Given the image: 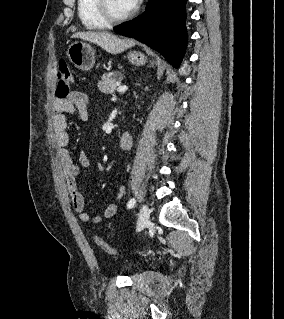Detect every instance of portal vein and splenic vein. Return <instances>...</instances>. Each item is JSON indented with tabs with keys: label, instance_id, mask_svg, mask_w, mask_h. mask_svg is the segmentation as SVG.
I'll return each instance as SVG.
<instances>
[{
	"label": "portal vein and splenic vein",
	"instance_id": "obj_1",
	"mask_svg": "<svg viewBox=\"0 0 284 319\" xmlns=\"http://www.w3.org/2000/svg\"><path fill=\"white\" fill-rule=\"evenodd\" d=\"M128 87L127 86H119L117 88V91L120 92V93H123L125 91H127Z\"/></svg>",
	"mask_w": 284,
	"mask_h": 319
}]
</instances>
